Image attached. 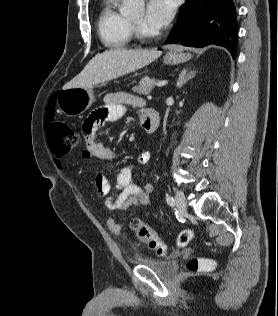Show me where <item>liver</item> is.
<instances>
[{
  "label": "liver",
  "mask_w": 278,
  "mask_h": 316,
  "mask_svg": "<svg viewBox=\"0 0 278 316\" xmlns=\"http://www.w3.org/2000/svg\"><path fill=\"white\" fill-rule=\"evenodd\" d=\"M161 51L111 49L93 57L80 74L63 86V89L92 87L134 72L155 61Z\"/></svg>",
  "instance_id": "liver-1"
}]
</instances>
